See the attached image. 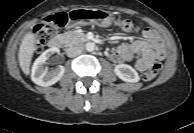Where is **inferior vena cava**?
I'll use <instances>...</instances> for the list:
<instances>
[{"mask_svg": "<svg viewBox=\"0 0 194 133\" xmlns=\"http://www.w3.org/2000/svg\"><path fill=\"white\" fill-rule=\"evenodd\" d=\"M82 51H83V48L79 46L69 47L66 50L68 57H76L80 55Z\"/></svg>", "mask_w": 194, "mask_h": 133, "instance_id": "602c4592", "label": "inferior vena cava"}]
</instances>
